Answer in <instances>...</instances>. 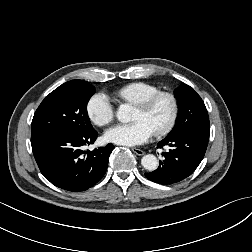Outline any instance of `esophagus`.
Wrapping results in <instances>:
<instances>
[{"instance_id": "esophagus-1", "label": "esophagus", "mask_w": 252, "mask_h": 252, "mask_svg": "<svg viewBox=\"0 0 252 252\" xmlns=\"http://www.w3.org/2000/svg\"><path fill=\"white\" fill-rule=\"evenodd\" d=\"M132 151H133L136 155H138V156H142V155H144V151H143V150H141V149H138V148H132Z\"/></svg>"}]
</instances>
